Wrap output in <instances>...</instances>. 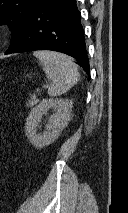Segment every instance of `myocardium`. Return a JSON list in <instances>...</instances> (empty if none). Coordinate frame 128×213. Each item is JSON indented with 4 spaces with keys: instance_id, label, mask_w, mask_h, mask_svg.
<instances>
[{
    "instance_id": "myocardium-1",
    "label": "myocardium",
    "mask_w": 128,
    "mask_h": 213,
    "mask_svg": "<svg viewBox=\"0 0 128 213\" xmlns=\"http://www.w3.org/2000/svg\"><path fill=\"white\" fill-rule=\"evenodd\" d=\"M4 37V31L3 29L0 27V41L3 39Z\"/></svg>"
}]
</instances>
